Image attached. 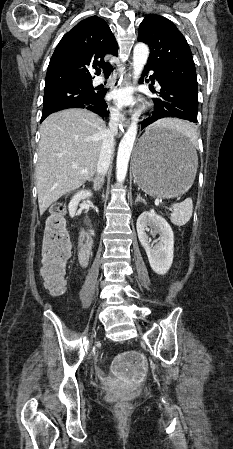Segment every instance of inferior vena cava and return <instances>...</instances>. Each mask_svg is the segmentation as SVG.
I'll return each instance as SVG.
<instances>
[{"label":"inferior vena cava","mask_w":233,"mask_h":449,"mask_svg":"<svg viewBox=\"0 0 233 449\" xmlns=\"http://www.w3.org/2000/svg\"><path fill=\"white\" fill-rule=\"evenodd\" d=\"M121 120V114L118 111L111 113L109 121V129L106 131L102 148L100 151L96 172L98 175L104 176L110 165V159L114 147V139L118 133V123Z\"/></svg>","instance_id":"obj_1"}]
</instances>
